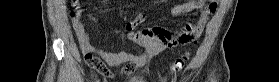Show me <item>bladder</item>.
Segmentation results:
<instances>
[{
  "mask_svg": "<svg viewBox=\"0 0 279 82\" xmlns=\"http://www.w3.org/2000/svg\"><path fill=\"white\" fill-rule=\"evenodd\" d=\"M145 81L141 75H132L128 77V82H143Z\"/></svg>",
  "mask_w": 279,
  "mask_h": 82,
  "instance_id": "31cf9c89",
  "label": "bladder"
}]
</instances>
